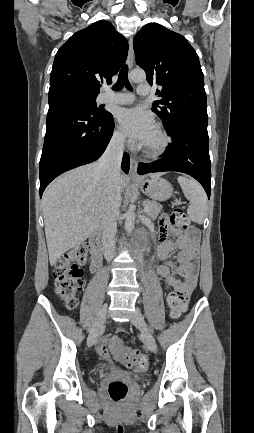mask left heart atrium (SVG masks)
I'll return each mask as SVG.
<instances>
[{"mask_svg":"<svg viewBox=\"0 0 254 433\" xmlns=\"http://www.w3.org/2000/svg\"><path fill=\"white\" fill-rule=\"evenodd\" d=\"M118 122L123 132L142 144L155 129L152 116L142 108H124L117 113Z\"/></svg>","mask_w":254,"mask_h":433,"instance_id":"1","label":"left heart atrium"}]
</instances>
